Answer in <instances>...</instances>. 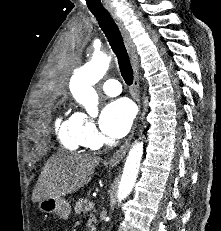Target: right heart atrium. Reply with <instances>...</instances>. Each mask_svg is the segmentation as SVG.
<instances>
[{
	"mask_svg": "<svg viewBox=\"0 0 221 231\" xmlns=\"http://www.w3.org/2000/svg\"><path fill=\"white\" fill-rule=\"evenodd\" d=\"M74 115L83 144L88 147H93L99 140V133L93 120L83 112H76Z\"/></svg>",
	"mask_w": 221,
	"mask_h": 231,
	"instance_id": "1",
	"label": "right heart atrium"
}]
</instances>
